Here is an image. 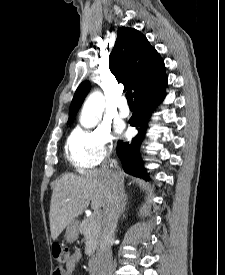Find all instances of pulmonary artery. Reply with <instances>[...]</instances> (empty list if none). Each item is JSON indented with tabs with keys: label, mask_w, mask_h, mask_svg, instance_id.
Returning a JSON list of instances; mask_svg holds the SVG:
<instances>
[{
	"label": "pulmonary artery",
	"mask_w": 225,
	"mask_h": 275,
	"mask_svg": "<svg viewBox=\"0 0 225 275\" xmlns=\"http://www.w3.org/2000/svg\"><path fill=\"white\" fill-rule=\"evenodd\" d=\"M117 113L121 117H127L129 115L130 110H129V107L127 106V104H126V100L125 99H122L120 101Z\"/></svg>",
	"instance_id": "obj_1"
}]
</instances>
